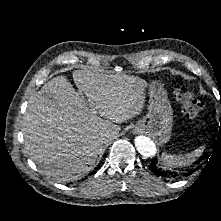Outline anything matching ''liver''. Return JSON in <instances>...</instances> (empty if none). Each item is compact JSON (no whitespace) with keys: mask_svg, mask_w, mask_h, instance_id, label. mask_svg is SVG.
<instances>
[{"mask_svg":"<svg viewBox=\"0 0 221 221\" xmlns=\"http://www.w3.org/2000/svg\"><path fill=\"white\" fill-rule=\"evenodd\" d=\"M73 79L78 91L65 76L47 82L30 97L23 118L27 154L45 174L62 182L93 168L103 144L110 141L103 134L117 137L118 124L141 113L148 87L136 76L91 70H76Z\"/></svg>","mask_w":221,"mask_h":221,"instance_id":"6515ba94","label":"liver"}]
</instances>
